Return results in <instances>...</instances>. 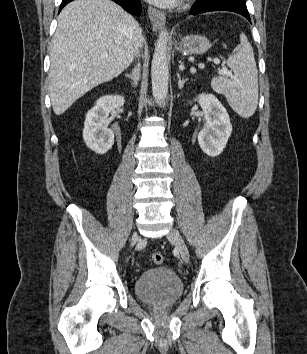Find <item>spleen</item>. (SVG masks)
Here are the masks:
<instances>
[{"label":"spleen","mask_w":307,"mask_h":354,"mask_svg":"<svg viewBox=\"0 0 307 354\" xmlns=\"http://www.w3.org/2000/svg\"><path fill=\"white\" fill-rule=\"evenodd\" d=\"M227 65L235 78L219 76L211 86L217 93L225 95L230 107L242 118L251 117L258 105V71L253 48L245 34H240V44L228 57Z\"/></svg>","instance_id":"1"}]
</instances>
